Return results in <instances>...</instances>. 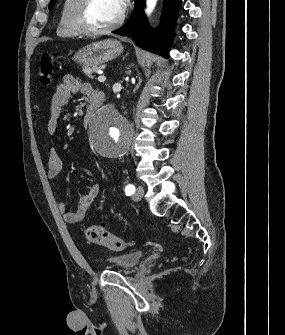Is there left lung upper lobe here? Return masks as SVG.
I'll return each mask as SVG.
<instances>
[{"label":"left lung upper lobe","mask_w":285,"mask_h":335,"mask_svg":"<svg viewBox=\"0 0 285 335\" xmlns=\"http://www.w3.org/2000/svg\"><path fill=\"white\" fill-rule=\"evenodd\" d=\"M56 1H57V0H51V1H50V4H49V8H51V7L55 4Z\"/></svg>","instance_id":"1"}]
</instances>
